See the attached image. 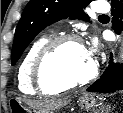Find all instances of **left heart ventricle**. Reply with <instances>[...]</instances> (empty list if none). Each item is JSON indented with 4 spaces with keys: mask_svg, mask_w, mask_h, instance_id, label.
Returning <instances> with one entry per match:
<instances>
[{
    "mask_svg": "<svg viewBox=\"0 0 123 113\" xmlns=\"http://www.w3.org/2000/svg\"><path fill=\"white\" fill-rule=\"evenodd\" d=\"M92 68V60L78 43H67L49 60L46 72L53 81L72 82L85 77Z\"/></svg>",
    "mask_w": 123,
    "mask_h": 113,
    "instance_id": "1",
    "label": "left heart ventricle"
}]
</instances>
